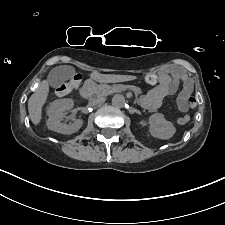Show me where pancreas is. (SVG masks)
I'll use <instances>...</instances> for the list:
<instances>
[{
    "mask_svg": "<svg viewBox=\"0 0 225 225\" xmlns=\"http://www.w3.org/2000/svg\"><path fill=\"white\" fill-rule=\"evenodd\" d=\"M126 89H131L132 91H134L136 94H141L142 90L139 87L136 86H126V85H99L97 86V90L105 95H108L110 93H114V92H121L124 91Z\"/></svg>",
    "mask_w": 225,
    "mask_h": 225,
    "instance_id": "1",
    "label": "pancreas"
}]
</instances>
